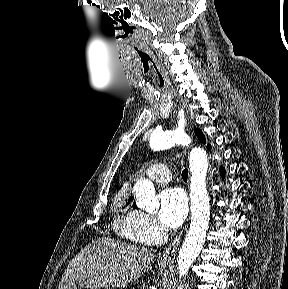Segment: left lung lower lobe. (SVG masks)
Here are the masks:
<instances>
[{
	"label": "left lung lower lobe",
	"mask_w": 288,
	"mask_h": 289,
	"mask_svg": "<svg viewBox=\"0 0 288 289\" xmlns=\"http://www.w3.org/2000/svg\"><path fill=\"white\" fill-rule=\"evenodd\" d=\"M208 148H209V147H208ZM220 173H221L222 176L224 175L225 171H224L223 167H221Z\"/></svg>",
	"instance_id": "left-lung-lower-lobe-1"
}]
</instances>
